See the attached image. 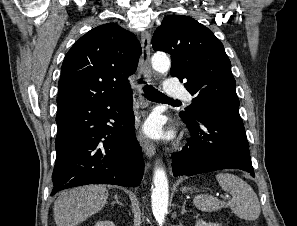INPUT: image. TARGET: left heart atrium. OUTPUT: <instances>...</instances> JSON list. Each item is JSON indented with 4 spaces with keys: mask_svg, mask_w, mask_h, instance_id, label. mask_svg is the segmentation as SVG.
I'll list each match as a JSON object with an SVG mask.
<instances>
[{
    "mask_svg": "<svg viewBox=\"0 0 297 226\" xmlns=\"http://www.w3.org/2000/svg\"><path fill=\"white\" fill-rule=\"evenodd\" d=\"M145 130L152 136H158L161 134V127L156 119H151L145 126Z\"/></svg>",
    "mask_w": 297,
    "mask_h": 226,
    "instance_id": "left-heart-atrium-1",
    "label": "left heart atrium"
}]
</instances>
